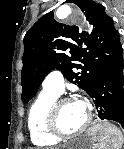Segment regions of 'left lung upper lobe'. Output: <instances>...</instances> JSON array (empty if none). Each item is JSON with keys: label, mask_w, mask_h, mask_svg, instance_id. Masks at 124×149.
<instances>
[{"label": "left lung upper lobe", "mask_w": 124, "mask_h": 149, "mask_svg": "<svg viewBox=\"0 0 124 149\" xmlns=\"http://www.w3.org/2000/svg\"><path fill=\"white\" fill-rule=\"evenodd\" d=\"M92 25L88 33L54 19L53 11L43 15L26 33L21 84L27 103L43 79L54 69L87 92L100 73L123 59L119 32L104 7L93 0H72ZM85 45V48L82 46Z\"/></svg>", "instance_id": "5c2ea615"}]
</instances>
